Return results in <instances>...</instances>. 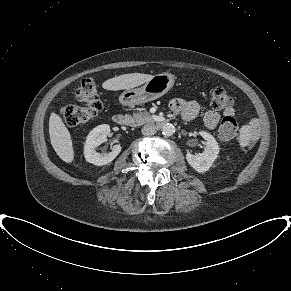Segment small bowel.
<instances>
[{
    "mask_svg": "<svg viewBox=\"0 0 291 291\" xmlns=\"http://www.w3.org/2000/svg\"><path fill=\"white\" fill-rule=\"evenodd\" d=\"M170 108L174 112H181L182 118L185 121H191L196 118L200 112V105L194 100H184L177 98L171 101ZM234 114V108L229 106L223 112L224 116H232ZM221 119V114L214 110H208L204 114V123L207 128L215 129ZM248 128L251 133V138L256 139L259 135L258 124L251 121L248 124Z\"/></svg>",
    "mask_w": 291,
    "mask_h": 291,
    "instance_id": "small-bowel-1",
    "label": "small bowel"
}]
</instances>
